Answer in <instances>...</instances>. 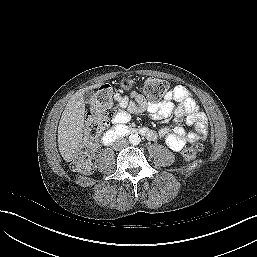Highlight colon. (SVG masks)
I'll list each match as a JSON object with an SVG mask.
<instances>
[{"instance_id":"1","label":"colon","mask_w":257,"mask_h":257,"mask_svg":"<svg viewBox=\"0 0 257 257\" xmlns=\"http://www.w3.org/2000/svg\"><path fill=\"white\" fill-rule=\"evenodd\" d=\"M169 84L165 80L149 78L143 84V93L151 102L159 101L167 92ZM115 91L109 85H104L94 94L90 100V116L86 121L85 135L79 150L72 161V168L80 173H88L93 167L98 138L106 127L108 120L114 114ZM203 144L185 148L182 157L185 161H193L202 150Z\"/></svg>"}]
</instances>
